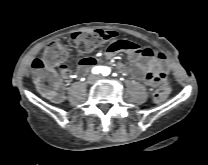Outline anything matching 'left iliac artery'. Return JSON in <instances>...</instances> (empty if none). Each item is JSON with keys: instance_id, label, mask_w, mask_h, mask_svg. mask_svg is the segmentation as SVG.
Returning a JSON list of instances; mask_svg holds the SVG:
<instances>
[{"instance_id": "1", "label": "left iliac artery", "mask_w": 208, "mask_h": 165, "mask_svg": "<svg viewBox=\"0 0 208 165\" xmlns=\"http://www.w3.org/2000/svg\"><path fill=\"white\" fill-rule=\"evenodd\" d=\"M102 73L104 76H107L110 73V69L108 67H104Z\"/></svg>"}]
</instances>
